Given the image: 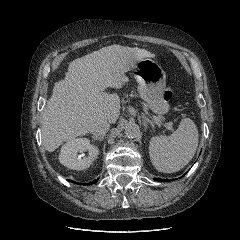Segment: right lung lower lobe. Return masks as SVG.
<instances>
[{"mask_svg":"<svg viewBox=\"0 0 240 240\" xmlns=\"http://www.w3.org/2000/svg\"><path fill=\"white\" fill-rule=\"evenodd\" d=\"M71 181V180H70ZM73 183H75L74 181H72ZM97 182V180H94L93 182H91V183H87V185H90V184H94V183H96ZM84 185H86L85 183H84Z\"/></svg>","mask_w":240,"mask_h":240,"instance_id":"right-lung-lower-lobe-1","label":"right lung lower lobe"}]
</instances>
